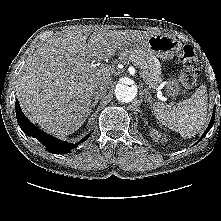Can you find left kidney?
Masks as SVG:
<instances>
[{"label":"left kidney","instance_id":"5707ae66","mask_svg":"<svg viewBox=\"0 0 221 221\" xmlns=\"http://www.w3.org/2000/svg\"><path fill=\"white\" fill-rule=\"evenodd\" d=\"M151 137H152V139H153L155 142H157V141L160 139V135H159L158 132L155 131V130H153V131L151 132Z\"/></svg>","mask_w":221,"mask_h":221}]
</instances>
